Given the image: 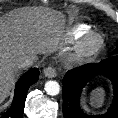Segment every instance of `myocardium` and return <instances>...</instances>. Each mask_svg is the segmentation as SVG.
Masks as SVG:
<instances>
[{
  "label": "myocardium",
  "mask_w": 118,
  "mask_h": 118,
  "mask_svg": "<svg viewBox=\"0 0 118 118\" xmlns=\"http://www.w3.org/2000/svg\"><path fill=\"white\" fill-rule=\"evenodd\" d=\"M105 46L104 37L98 32L87 33L79 42L76 59L89 60L98 55Z\"/></svg>",
  "instance_id": "1"
}]
</instances>
